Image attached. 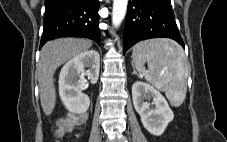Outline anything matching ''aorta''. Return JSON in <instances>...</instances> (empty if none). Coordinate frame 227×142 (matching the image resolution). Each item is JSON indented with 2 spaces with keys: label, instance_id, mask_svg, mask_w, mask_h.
Listing matches in <instances>:
<instances>
[{
  "label": "aorta",
  "instance_id": "aorta-1",
  "mask_svg": "<svg viewBox=\"0 0 227 142\" xmlns=\"http://www.w3.org/2000/svg\"><path fill=\"white\" fill-rule=\"evenodd\" d=\"M128 0H113L112 24L120 26L127 12Z\"/></svg>",
  "mask_w": 227,
  "mask_h": 142
}]
</instances>
